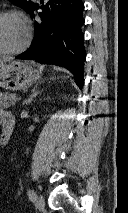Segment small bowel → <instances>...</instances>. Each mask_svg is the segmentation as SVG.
<instances>
[{
  "label": "small bowel",
  "instance_id": "1",
  "mask_svg": "<svg viewBox=\"0 0 128 213\" xmlns=\"http://www.w3.org/2000/svg\"><path fill=\"white\" fill-rule=\"evenodd\" d=\"M7 114H8V112L3 111V110L0 109V122H1V120H2Z\"/></svg>",
  "mask_w": 128,
  "mask_h": 213
}]
</instances>
